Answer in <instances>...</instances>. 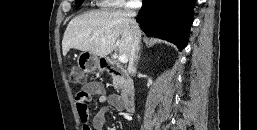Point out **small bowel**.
<instances>
[{"label":"small bowel","mask_w":257,"mask_h":130,"mask_svg":"<svg viewBox=\"0 0 257 130\" xmlns=\"http://www.w3.org/2000/svg\"><path fill=\"white\" fill-rule=\"evenodd\" d=\"M93 96H98L101 103H108L117 109H121V96L117 94L108 95L100 82L93 81L85 84L75 95V104L83 130H103L107 119L108 109L106 107L98 111L92 118L89 117L88 103Z\"/></svg>","instance_id":"small-bowel-1"}]
</instances>
